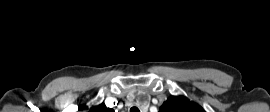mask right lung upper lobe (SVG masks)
I'll list each match as a JSON object with an SVG mask.
<instances>
[{
  "instance_id": "cb5924a9",
  "label": "right lung upper lobe",
  "mask_w": 270,
  "mask_h": 112,
  "mask_svg": "<svg viewBox=\"0 0 270 112\" xmlns=\"http://www.w3.org/2000/svg\"><path fill=\"white\" fill-rule=\"evenodd\" d=\"M89 112H114L113 109L107 108L104 103L90 110Z\"/></svg>"
}]
</instances>
